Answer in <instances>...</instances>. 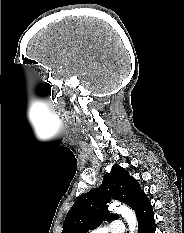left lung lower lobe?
I'll return each instance as SVG.
<instances>
[{
  "mask_svg": "<svg viewBox=\"0 0 184 233\" xmlns=\"http://www.w3.org/2000/svg\"><path fill=\"white\" fill-rule=\"evenodd\" d=\"M133 210L138 218V233H155L154 212L146 195L138 200Z\"/></svg>",
  "mask_w": 184,
  "mask_h": 233,
  "instance_id": "1",
  "label": "left lung lower lobe"
}]
</instances>
